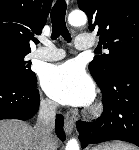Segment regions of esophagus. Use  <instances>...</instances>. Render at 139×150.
Returning a JSON list of instances; mask_svg holds the SVG:
<instances>
[{
	"instance_id": "34e87169",
	"label": "esophagus",
	"mask_w": 139,
	"mask_h": 150,
	"mask_svg": "<svg viewBox=\"0 0 139 150\" xmlns=\"http://www.w3.org/2000/svg\"><path fill=\"white\" fill-rule=\"evenodd\" d=\"M65 3H69L70 0H64ZM76 118L75 117H69L65 121V131L68 135H70L73 132L74 126H75Z\"/></svg>"
}]
</instances>
